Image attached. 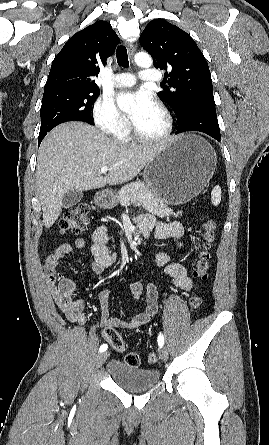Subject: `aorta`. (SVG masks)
<instances>
[{
    "label": "aorta",
    "instance_id": "aorta-1",
    "mask_svg": "<svg viewBox=\"0 0 269 445\" xmlns=\"http://www.w3.org/2000/svg\"><path fill=\"white\" fill-rule=\"evenodd\" d=\"M135 63L143 68H149L152 65V58L147 53H137L134 57ZM133 98L131 97H121L118 100V106L122 110H129L132 104Z\"/></svg>",
    "mask_w": 269,
    "mask_h": 445
}]
</instances>
